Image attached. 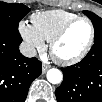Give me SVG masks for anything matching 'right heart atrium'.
Here are the masks:
<instances>
[{"label":"right heart atrium","mask_w":102,"mask_h":102,"mask_svg":"<svg viewBox=\"0 0 102 102\" xmlns=\"http://www.w3.org/2000/svg\"><path fill=\"white\" fill-rule=\"evenodd\" d=\"M19 31L28 44L30 53L35 51L43 52L46 49L45 40L35 31L31 25L22 22L19 26Z\"/></svg>","instance_id":"d8ad5b80"}]
</instances>
